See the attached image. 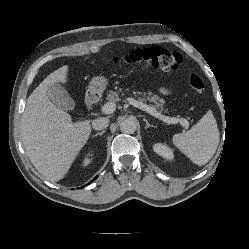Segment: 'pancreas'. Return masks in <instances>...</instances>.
<instances>
[{
	"mask_svg": "<svg viewBox=\"0 0 249 249\" xmlns=\"http://www.w3.org/2000/svg\"><path fill=\"white\" fill-rule=\"evenodd\" d=\"M118 93H119L118 91L109 90L107 92L106 99L108 101H111V102L118 101V96H119ZM148 95H150V93ZM141 100L142 101L148 100L150 103H152V107L155 110L157 109V110H160V111H166L164 109V103H165V101L162 98L158 97L157 95L148 96L146 98L143 97Z\"/></svg>",
	"mask_w": 249,
	"mask_h": 249,
	"instance_id": "obj_1",
	"label": "pancreas"
}]
</instances>
